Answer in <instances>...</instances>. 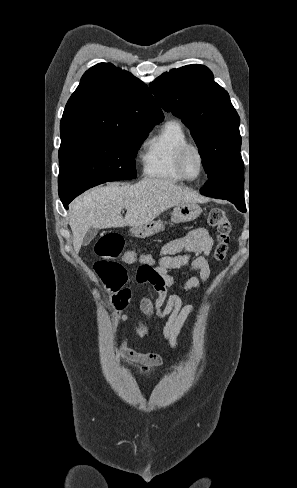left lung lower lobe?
<instances>
[{
    "label": "left lung lower lobe",
    "instance_id": "1",
    "mask_svg": "<svg viewBox=\"0 0 297 488\" xmlns=\"http://www.w3.org/2000/svg\"><path fill=\"white\" fill-rule=\"evenodd\" d=\"M236 207L242 212L246 210L244 205H237Z\"/></svg>",
    "mask_w": 297,
    "mask_h": 488
}]
</instances>
